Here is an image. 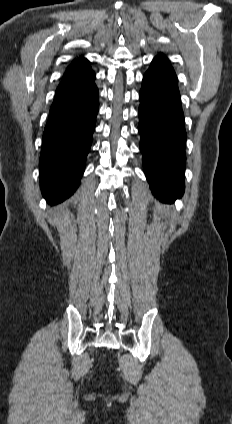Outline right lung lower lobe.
I'll return each instance as SVG.
<instances>
[{
	"mask_svg": "<svg viewBox=\"0 0 232 424\" xmlns=\"http://www.w3.org/2000/svg\"><path fill=\"white\" fill-rule=\"evenodd\" d=\"M94 80V72L74 75L56 89L40 156V186L51 205L71 196L83 175L99 108Z\"/></svg>",
	"mask_w": 232,
	"mask_h": 424,
	"instance_id": "obj_1",
	"label": "right lung lower lobe"
}]
</instances>
